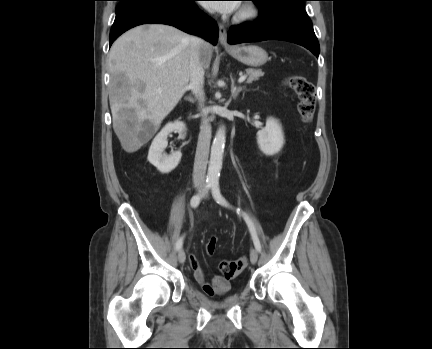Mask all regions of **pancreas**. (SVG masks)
<instances>
[{
	"label": "pancreas",
	"instance_id": "1",
	"mask_svg": "<svg viewBox=\"0 0 432 349\" xmlns=\"http://www.w3.org/2000/svg\"><path fill=\"white\" fill-rule=\"evenodd\" d=\"M246 74L248 75L247 83H252L259 79V77L263 76L264 73L261 70L256 69H246Z\"/></svg>",
	"mask_w": 432,
	"mask_h": 349
}]
</instances>
